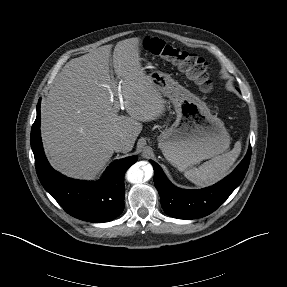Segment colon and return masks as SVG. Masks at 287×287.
I'll return each mask as SVG.
<instances>
[{
	"instance_id": "5ec220e1",
	"label": "colon",
	"mask_w": 287,
	"mask_h": 287,
	"mask_svg": "<svg viewBox=\"0 0 287 287\" xmlns=\"http://www.w3.org/2000/svg\"><path fill=\"white\" fill-rule=\"evenodd\" d=\"M143 47L151 54L175 64L202 92L208 93L212 90L209 67L202 57L184 51L157 37H146Z\"/></svg>"
}]
</instances>
